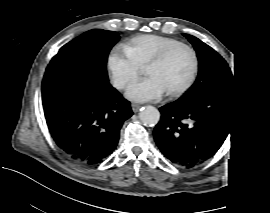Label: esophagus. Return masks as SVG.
<instances>
[{
  "mask_svg": "<svg viewBox=\"0 0 270 213\" xmlns=\"http://www.w3.org/2000/svg\"><path fill=\"white\" fill-rule=\"evenodd\" d=\"M131 107H132L133 112L136 113V112H138L139 109L141 108V105L136 104V103H132V104H131Z\"/></svg>",
  "mask_w": 270,
  "mask_h": 213,
  "instance_id": "1",
  "label": "esophagus"
}]
</instances>
